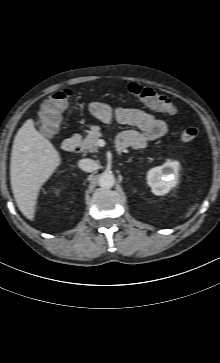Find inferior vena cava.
Wrapping results in <instances>:
<instances>
[{
	"instance_id": "inferior-vena-cava-1",
	"label": "inferior vena cava",
	"mask_w": 220,
	"mask_h": 363,
	"mask_svg": "<svg viewBox=\"0 0 220 363\" xmlns=\"http://www.w3.org/2000/svg\"><path fill=\"white\" fill-rule=\"evenodd\" d=\"M78 166L86 172H93L98 169V164L92 159H81Z\"/></svg>"
}]
</instances>
